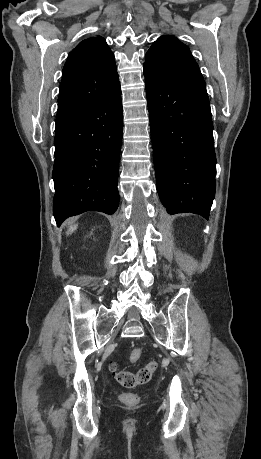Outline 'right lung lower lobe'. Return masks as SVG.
I'll return each instance as SVG.
<instances>
[{
    "mask_svg": "<svg viewBox=\"0 0 261 459\" xmlns=\"http://www.w3.org/2000/svg\"><path fill=\"white\" fill-rule=\"evenodd\" d=\"M122 130L120 85L90 107L56 121L52 176L57 225L86 211L110 215L117 210Z\"/></svg>",
    "mask_w": 261,
    "mask_h": 459,
    "instance_id": "right-lung-lower-lobe-1",
    "label": "right lung lower lobe"
}]
</instances>
